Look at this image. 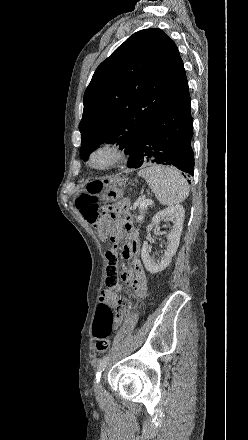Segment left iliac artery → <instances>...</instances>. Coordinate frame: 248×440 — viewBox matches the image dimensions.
<instances>
[{
    "label": "left iliac artery",
    "instance_id": "1",
    "mask_svg": "<svg viewBox=\"0 0 248 440\" xmlns=\"http://www.w3.org/2000/svg\"><path fill=\"white\" fill-rule=\"evenodd\" d=\"M109 359H110L109 356H104L102 359H100L96 371V379H95L96 383L100 381L101 373L104 371L105 367L107 366Z\"/></svg>",
    "mask_w": 248,
    "mask_h": 440
}]
</instances>
